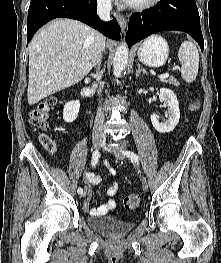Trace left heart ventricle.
I'll use <instances>...</instances> for the list:
<instances>
[{"instance_id": "b2bd125f", "label": "left heart ventricle", "mask_w": 221, "mask_h": 263, "mask_svg": "<svg viewBox=\"0 0 221 263\" xmlns=\"http://www.w3.org/2000/svg\"><path fill=\"white\" fill-rule=\"evenodd\" d=\"M143 1V0H135L134 2Z\"/></svg>"}]
</instances>
